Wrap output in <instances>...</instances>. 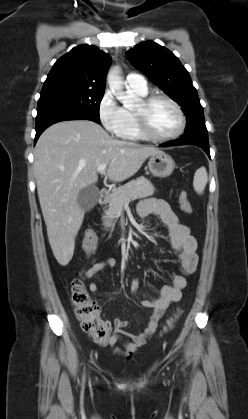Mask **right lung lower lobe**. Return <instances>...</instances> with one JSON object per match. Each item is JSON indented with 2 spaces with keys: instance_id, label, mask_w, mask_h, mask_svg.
Returning <instances> with one entry per match:
<instances>
[{
  "instance_id": "obj_1",
  "label": "right lung lower lobe",
  "mask_w": 248,
  "mask_h": 419,
  "mask_svg": "<svg viewBox=\"0 0 248 419\" xmlns=\"http://www.w3.org/2000/svg\"><path fill=\"white\" fill-rule=\"evenodd\" d=\"M86 119L91 120L96 123H100L88 114L76 110H61V111H51L47 113L37 114L36 117V136L34 143L37 142L41 133L50 125L65 121V120H79Z\"/></svg>"
}]
</instances>
